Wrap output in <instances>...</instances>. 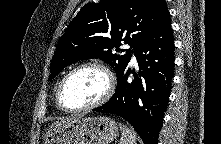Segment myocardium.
Returning <instances> with one entry per match:
<instances>
[{
  "instance_id": "f54148a6",
  "label": "myocardium",
  "mask_w": 221,
  "mask_h": 144,
  "mask_svg": "<svg viewBox=\"0 0 221 144\" xmlns=\"http://www.w3.org/2000/svg\"><path fill=\"white\" fill-rule=\"evenodd\" d=\"M84 68H96V69L100 70L106 76V79H107L106 91L97 101H95L91 104H88V105L82 106V107H76V108L69 107L65 104L64 99H63L64 87H65L67 81L77 71L84 69ZM114 89H115L114 77H113L111 71L104 64H102L100 62H84V63L77 65L73 69H71L60 81L58 88H57V96H56L57 104L61 110L65 111V112H70V113L91 110V109H94V108L99 107V106L103 105L104 103H106L113 95Z\"/></svg>"
}]
</instances>
